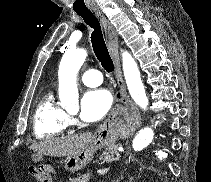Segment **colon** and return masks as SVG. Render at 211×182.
<instances>
[{
    "label": "colon",
    "mask_w": 211,
    "mask_h": 182,
    "mask_svg": "<svg viewBox=\"0 0 211 182\" xmlns=\"http://www.w3.org/2000/svg\"><path fill=\"white\" fill-rule=\"evenodd\" d=\"M30 172L37 181L52 182L54 170L50 166L30 167Z\"/></svg>",
    "instance_id": "5ec220e1"
}]
</instances>
